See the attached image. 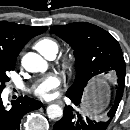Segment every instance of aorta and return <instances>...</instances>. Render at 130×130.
<instances>
[{
	"label": "aorta",
	"mask_w": 130,
	"mask_h": 130,
	"mask_svg": "<svg viewBox=\"0 0 130 130\" xmlns=\"http://www.w3.org/2000/svg\"><path fill=\"white\" fill-rule=\"evenodd\" d=\"M21 62L22 66L28 72H45L48 69V63L40 55L34 52L25 54ZM46 111L50 119H57L63 115L62 108L57 104L49 105Z\"/></svg>",
	"instance_id": "762f6f07"
}]
</instances>
